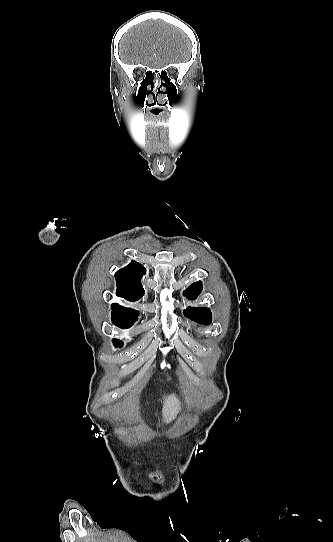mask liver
I'll return each instance as SVG.
<instances>
[{
    "instance_id": "6515ba94",
    "label": "liver",
    "mask_w": 333,
    "mask_h": 542,
    "mask_svg": "<svg viewBox=\"0 0 333 542\" xmlns=\"http://www.w3.org/2000/svg\"><path fill=\"white\" fill-rule=\"evenodd\" d=\"M179 410L178 400L175 396H169L164 404V416L166 424L172 422L175 416H177Z\"/></svg>"
}]
</instances>
